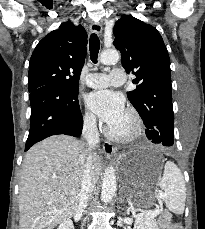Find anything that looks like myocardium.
Here are the masks:
<instances>
[{"instance_id": "f54148a6", "label": "myocardium", "mask_w": 205, "mask_h": 229, "mask_svg": "<svg viewBox=\"0 0 205 229\" xmlns=\"http://www.w3.org/2000/svg\"><path fill=\"white\" fill-rule=\"evenodd\" d=\"M125 114L130 118V129L125 133H117L110 127H107L105 133L111 140L118 142H129L140 136L143 124L139 113L135 109L129 108L126 110Z\"/></svg>"}]
</instances>
